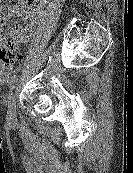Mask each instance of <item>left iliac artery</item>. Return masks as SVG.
<instances>
[{"instance_id":"obj_1","label":"left iliac artery","mask_w":133,"mask_h":173,"mask_svg":"<svg viewBox=\"0 0 133 173\" xmlns=\"http://www.w3.org/2000/svg\"><path fill=\"white\" fill-rule=\"evenodd\" d=\"M18 77H19L18 75H13L11 77V80H10V83H9L10 92H12L13 89L15 88V85L18 81Z\"/></svg>"}]
</instances>
